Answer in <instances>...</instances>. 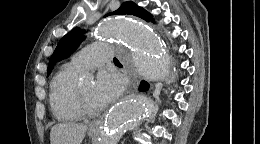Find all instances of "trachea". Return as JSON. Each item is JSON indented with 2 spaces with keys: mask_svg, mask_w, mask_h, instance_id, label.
<instances>
[{
  "mask_svg": "<svg viewBox=\"0 0 260 144\" xmlns=\"http://www.w3.org/2000/svg\"><path fill=\"white\" fill-rule=\"evenodd\" d=\"M113 61H114V63H116V64H117V63L120 64V62H119V60H118L117 58H114Z\"/></svg>",
  "mask_w": 260,
  "mask_h": 144,
  "instance_id": "3493384b",
  "label": "trachea"
}]
</instances>
